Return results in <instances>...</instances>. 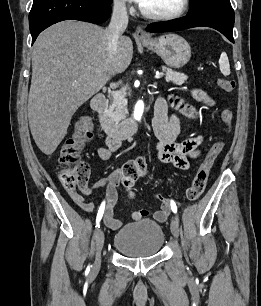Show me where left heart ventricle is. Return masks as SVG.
<instances>
[{
    "instance_id": "1",
    "label": "left heart ventricle",
    "mask_w": 261,
    "mask_h": 306,
    "mask_svg": "<svg viewBox=\"0 0 261 306\" xmlns=\"http://www.w3.org/2000/svg\"><path fill=\"white\" fill-rule=\"evenodd\" d=\"M182 0H144L141 4L146 10L155 13H171L176 11Z\"/></svg>"
}]
</instances>
